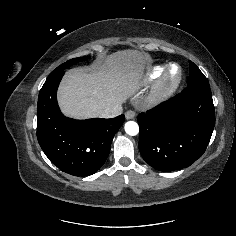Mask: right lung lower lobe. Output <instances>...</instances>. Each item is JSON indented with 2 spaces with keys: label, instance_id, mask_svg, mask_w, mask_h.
<instances>
[{
  "label": "right lung lower lobe",
  "instance_id": "obj_1",
  "mask_svg": "<svg viewBox=\"0 0 236 236\" xmlns=\"http://www.w3.org/2000/svg\"><path fill=\"white\" fill-rule=\"evenodd\" d=\"M64 75L48 76L40 90L37 105V138L40 147L61 171L75 176L95 173L105 163L112 139L125 116L112 119L74 120L65 117L56 92Z\"/></svg>",
  "mask_w": 236,
  "mask_h": 236
}]
</instances>
